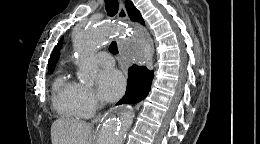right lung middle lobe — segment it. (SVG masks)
<instances>
[{
  "mask_svg": "<svg viewBox=\"0 0 260 144\" xmlns=\"http://www.w3.org/2000/svg\"><path fill=\"white\" fill-rule=\"evenodd\" d=\"M53 71H48V73L50 74V73H52Z\"/></svg>",
  "mask_w": 260,
  "mask_h": 144,
  "instance_id": "obj_1",
  "label": "right lung middle lobe"
}]
</instances>
